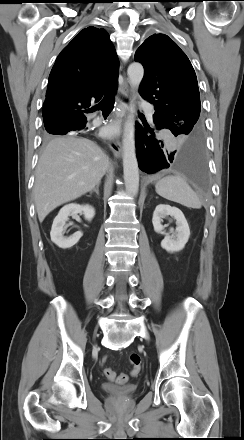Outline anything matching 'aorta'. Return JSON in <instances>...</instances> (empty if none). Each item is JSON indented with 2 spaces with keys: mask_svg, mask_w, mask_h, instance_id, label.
<instances>
[{
  "mask_svg": "<svg viewBox=\"0 0 244 440\" xmlns=\"http://www.w3.org/2000/svg\"><path fill=\"white\" fill-rule=\"evenodd\" d=\"M128 79L130 86L134 92H137L139 85L143 79L144 68L140 63H132L129 65ZM135 105L131 101L129 105V114L124 124V132L122 138L123 149V171L126 189L129 194L135 196L139 190V167L136 158L135 149Z\"/></svg>",
  "mask_w": 244,
  "mask_h": 440,
  "instance_id": "aorta-1",
  "label": "aorta"
}]
</instances>
